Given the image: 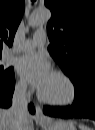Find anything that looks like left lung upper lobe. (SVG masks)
Listing matches in <instances>:
<instances>
[{
    "label": "left lung upper lobe",
    "instance_id": "obj_1",
    "mask_svg": "<svg viewBox=\"0 0 95 130\" xmlns=\"http://www.w3.org/2000/svg\"><path fill=\"white\" fill-rule=\"evenodd\" d=\"M45 5L52 13L48 50L77 87L95 74V0H45Z\"/></svg>",
    "mask_w": 95,
    "mask_h": 130
}]
</instances>
